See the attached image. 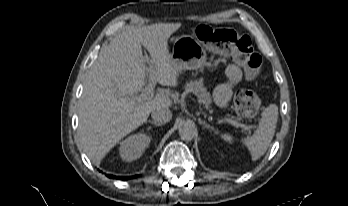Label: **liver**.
<instances>
[{
    "label": "liver",
    "instance_id": "1",
    "mask_svg": "<svg viewBox=\"0 0 348 206\" xmlns=\"http://www.w3.org/2000/svg\"><path fill=\"white\" fill-rule=\"evenodd\" d=\"M180 26L181 23L131 26L114 37L92 65L80 101L78 130L94 164L99 165L154 109L172 106L175 95L165 89L159 88L154 98L142 102L136 101L134 95L143 90L148 74L161 85H178L168 39ZM142 46L150 56H143Z\"/></svg>",
    "mask_w": 348,
    "mask_h": 206
}]
</instances>
